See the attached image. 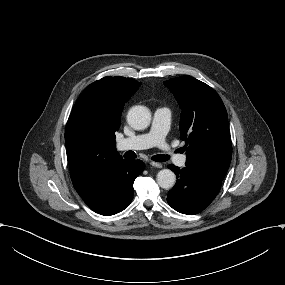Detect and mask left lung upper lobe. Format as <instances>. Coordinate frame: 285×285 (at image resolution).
<instances>
[{"label":"left lung upper lobe","mask_w":285,"mask_h":285,"mask_svg":"<svg viewBox=\"0 0 285 285\" xmlns=\"http://www.w3.org/2000/svg\"><path fill=\"white\" fill-rule=\"evenodd\" d=\"M164 85L182 109L180 133L186 143V166L222 182L231 161L232 143L221 98L207 84L190 76L172 78Z\"/></svg>","instance_id":"left-lung-upper-lobe-1"}]
</instances>
